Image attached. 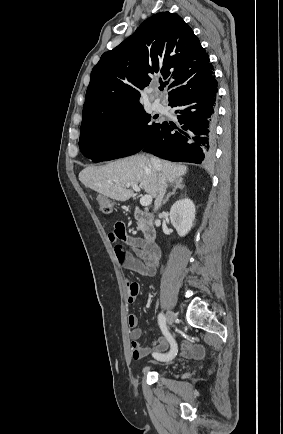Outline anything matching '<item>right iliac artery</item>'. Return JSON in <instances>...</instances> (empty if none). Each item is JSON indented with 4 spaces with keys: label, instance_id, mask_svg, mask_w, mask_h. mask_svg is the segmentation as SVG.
Returning <instances> with one entry per match:
<instances>
[{
    "label": "right iliac artery",
    "instance_id": "82829eb1",
    "mask_svg": "<svg viewBox=\"0 0 283 434\" xmlns=\"http://www.w3.org/2000/svg\"><path fill=\"white\" fill-rule=\"evenodd\" d=\"M158 323H159V326H160L163 334L170 341H172V337H171V335H170V333H169V331L167 329V326H166V318H165V315L163 313H160L158 315ZM172 347H174L173 346V342H172ZM175 355H176V353L174 351H171L168 354H163V355H161V354H154L153 356H154L155 359H157L159 361H169V360L173 359L175 357Z\"/></svg>",
    "mask_w": 283,
    "mask_h": 434
}]
</instances>
